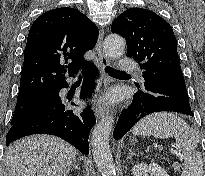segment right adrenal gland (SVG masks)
<instances>
[{
	"instance_id": "obj_1",
	"label": "right adrenal gland",
	"mask_w": 205,
	"mask_h": 176,
	"mask_svg": "<svg viewBox=\"0 0 205 176\" xmlns=\"http://www.w3.org/2000/svg\"><path fill=\"white\" fill-rule=\"evenodd\" d=\"M72 169H77V170H79V167L77 166L76 162L73 164Z\"/></svg>"
}]
</instances>
